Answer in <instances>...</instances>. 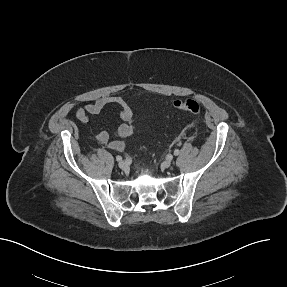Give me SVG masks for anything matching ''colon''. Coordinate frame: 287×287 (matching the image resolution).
<instances>
[{
	"mask_svg": "<svg viewBox=\"0 0 287 287\" xmlns=\"http://www.w3.org/2000/svg\"><path fill=\"white\" fill-rule=\"evenodd\" d=\"M174 107L186 114H199L201 112V105L194 99H180L174 102Z\"/></svg>",
	"mask_w": 287,
	"mask_h": 287,
	"instance_id": "5ec220e1",
	"label": "colon"
}]
</instances>
